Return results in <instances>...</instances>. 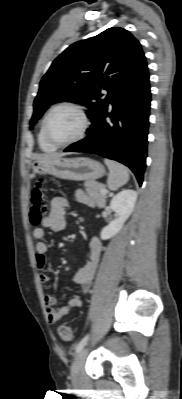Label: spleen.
Instances as JSON below:
<instances>
[{
  "label": "spleen",
  "mask_w": 182,
  "mask_h": 399,
  "mask_svg": "<svg viewBox=\"0 0 182 399\" xmlns=\"http://www.w3.org/2000/svg\"><path fill=\"white\" fill-rule=\"evenodd\" d=\"M104 162L110 172L107 180L110 190L115 191L127 183L129 180V170L124 165L109 159H104Z\"/></svg>",
  "instance_id": "3e777b00"
}]
</instances>
